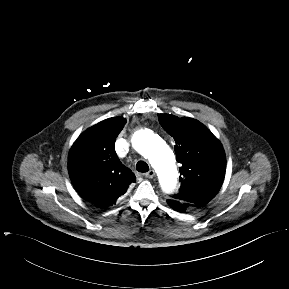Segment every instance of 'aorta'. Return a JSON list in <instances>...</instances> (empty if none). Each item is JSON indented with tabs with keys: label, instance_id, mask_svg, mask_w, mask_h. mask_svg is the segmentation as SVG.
I'll return each instance as SVG.
<instances>
[{
	"label": "aorta",
	"instance_id": "1",
	"mask_svg": "<svg viewBox=\"0 0 289 289\" xmlns=\"http://www.w3.org/2000/svg\"><path fill=\"white\" fill-rule=\"evenodd\" d=\"M134 148L145 158L158 173L163 191L170 193L174 190L178 171L173 151L158 135L150 130H140L132 139Z\"/></svg>",
	"mask_w": 289,
	"mask_h": 289
}]
</instances>
